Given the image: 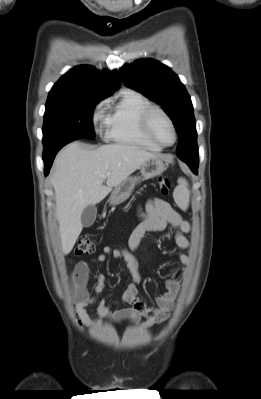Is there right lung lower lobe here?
I'll use <instances>...</instances> for the list:
<instances>
[{
    "label": "right lung lower lobe",
    "instance_id": "right-lung-lower-lobe-1",
    "mask_svg": "<svg viewBox=\"0 0 261 399\" xmlns=\"http://www.w3.org/2000/svg\"><path fill=\"white\" fill-rule=\"evenodd\" d=\"M74 140H76V139L75 138H70V139L62 140V141H59L57 143H54V144H51V145H48V146L44 147L43 160H44V163H45V175L48 174L49 169L52 166V163L54 161V158H55L57 152L63 146H65L66 144H68L69 142L74 141Z\"/></svg>",
    "mask_w": 261,
    "mask_h": 399
}]
</instances>
